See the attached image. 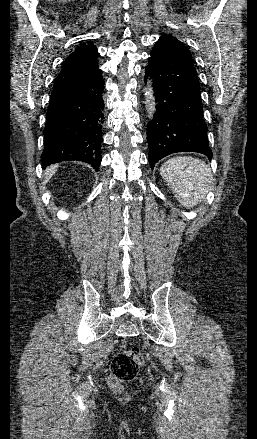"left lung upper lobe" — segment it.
I'll return each mask as SVG.
<instances>
[{
    "mask_svg": "<svg viewBox=\"0 0 257 439\" xmlns=\"http://www.w3.org/2000/svg\"><path fill=\"white\" fill-rule=\"evenodd\" d=\"M160 38H162V39H169V40H172L173 42H175V43L181 45V46L183 47V49H184V50L188 53V55L191 57V53H190V51L188 50V48H187L182 42H180L177 38H175V37H173V36H171V35H162Z\"/></svg>",
    "mask_w": 257,
    "mask_h": 439,
    "instance_id": "left-lung-upper-lobe-1",
    "label": "left lung upper lobe"
}]
</instances>
